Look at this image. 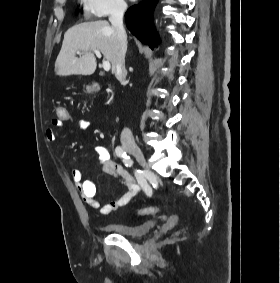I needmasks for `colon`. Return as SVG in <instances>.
I'll return each mask as SVG.
<instances>
[{"mask_svg": "<svg viewBox=\"0 0 280 283\" xmlns=\"http://www.w3.org/2000/svg\"><path fill=\"white\" fill-rule=\"evenodd\" d=\"M92 90L93 89H91L90 87L86 88L87 92H90ZM95 91L99 92L100 88L96 87ZM64 106L65 105H59V107H57L55 109V115L57 116V122H70V118H71L70 111L71 110H70V108L64 107ZM155 213H157V210L155 208H151V207L150 208H144V209H141L139 211V214L142 215V216L154 215Z\"/></svg>", "mask_w": 280, "mask_h": 283, "instance_id": "5ec220e1", "label": "colon"}]
</instances>
